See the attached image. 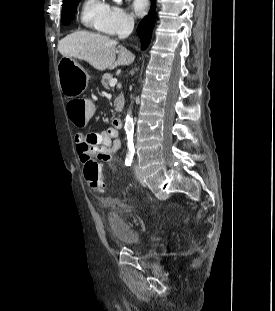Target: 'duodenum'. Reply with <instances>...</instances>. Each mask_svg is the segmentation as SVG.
Returning a JSON list of instances; mask_svg holds the SVG:
<instances>
[{
  "label": "duodenum",
  "mask_w": 275,
  "mask_h": 311,
  "mask_svg": "<svg viewBox=\"0 0 275 311\" xmlns=\"http://www.w3.org/2000/svg\"><path fill=\"white\" fill-rule=\"evenodd\" d=\"M113 125L118 128L121 129L122 128V120L120 118H114L113 119Z\"/></svg>",
  "instance_id": "1"
}]
</instances>
